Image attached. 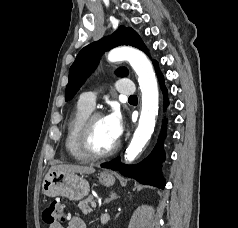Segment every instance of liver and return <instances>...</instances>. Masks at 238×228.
I'll return each instance as SVG.
<instances>
[{"label":"liver","instance_id":"6515ba94","mask_svg":"<svg viewBox=\"0 0 238 228\" xmlns=\"http://www.w3.org/2000/svg\"><path fill=\"white\" fill-rule=\"evenodd\" d=\"M63 171L65 173H80V174H91L95 172L92 166H80V165H56L52 166L49 171Z\"/></svg>","mask_w":238,"mask_h":228}]
</instances>
